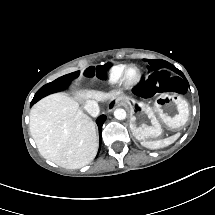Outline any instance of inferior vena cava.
<instances>
[{"instance_id": "602c4592", "label": "inferior vena cava", "mask_w": 215, "mask_h": 215, "mask_svg": "<svg viewBox=\"0 0 215 215\" xmlns=\"http://www.w3.org/2000/svg\"><path fill=\"white\" fill-rule=\"evenodd\" d=\"M84 109L93 117H97L100 111L98 103L94 100L87 101Z\"/></svg>"}]
</instances>
